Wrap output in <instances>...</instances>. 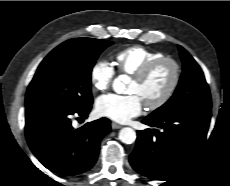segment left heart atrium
Returning <instances> with one entry per match:
<instances>
[{
  "label": "left heart atrium",
  "instance_id": "obj_1",
  "mask_svg": "<svg viewBox=\"0 0 230 186\" xmlns=\"http://www.w3.org/2000/svg\"><path fill=\"white\" fill-rule=\"evenodd\" d=\"M96 109L99 115L124 123L142 112L143 102L136 94H107L97 100Z\"/></svg>",
  "mask_w": 230,
  "mask_h": 186
}]
</instances>
